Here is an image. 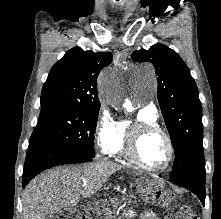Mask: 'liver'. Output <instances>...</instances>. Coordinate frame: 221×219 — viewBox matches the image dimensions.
I'll list each match as a JSON object with an SVG mask.
<instances>
[{
    "label": "liver",
    "instance_id": "6515ba94",
    "mask_svg": "<svg viewBox=\"0 0 221 219\" xmlns=\"http://www.w3.org/2000/svg\"><path fill=\"white\" fill-rule=\"evenodd\" d=\"M122 168L114 162L99 161L41 173L24 190L23 219H47L63 208L76 206L81 199L100 190Z\"/></svg>",
    "mask_w": 221,
    "mask_h": 219
}]
</instances>
